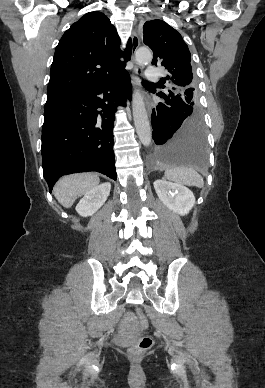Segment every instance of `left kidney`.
Here are the masks:
<instances>
[{
    "instance_id": "5707ae66",
    "label": "left kidney",
    "mask_w": 265,
    "mask_h": 388,
    "mask_svg": "<svg viewBox=\"0 0 265 388\" xmlns=\"http://www.w3.org/2000/svg\"><path fill=\"white\" fill-rule=\"evenodd\" d=\"M154 188L164 206L172 210V212L180 214V216L189 214L195 204V198L191 190L181 186V184H172V182H166V180H156Z\"/></svg>"
}]
</instances>
